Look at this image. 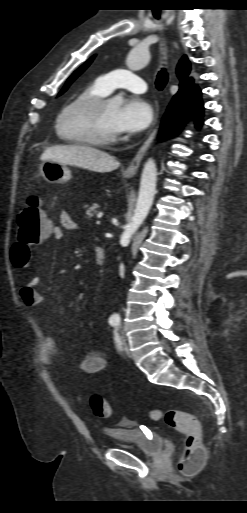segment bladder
Here are the masks:
<instances>
[{
	"mask_svg": "<svg viewBox=\"0 0 247 513\" xmlns=\"http://www.w3.org/2000/svg\"><path fill=\"white\" fill-rule=\"evenodd\" d=\"M106 435L112 438L111 448L130 449L144 455L158 454L164 446L161 435L140 428L108 429Z\"/></svg>",
	"mask_w": 247,
	"mask_h": 513,
	"instance_id": "obj_1",
	"label": "bladder"
}]
</instances>
